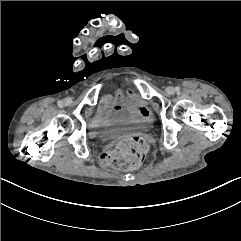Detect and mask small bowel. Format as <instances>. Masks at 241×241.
<instances>
[{
	"label": "small bowel",
	"mask_w": 241,
	"mask_h": 241,
	"mask_svg": "<svg viewBox=\"0 0 241 241\" xmlns=\"http://www.w3.org/2000/svg\"><path fill=\"white\" fill-rule=\"evenodd\" d=\"M133 94H134L133 91L128 90L127 100H128L129 106L134 110L135 117L137 119H139L144 124L150 123L153 120V116H152L151 111L144 104L134 103L132 101V95ZM107 102H108V98H105L103 100V106H105ZM118 109H121V107H119Z\"/></svg>",
	"instance_id": "obj_1"
}]
</instances>
